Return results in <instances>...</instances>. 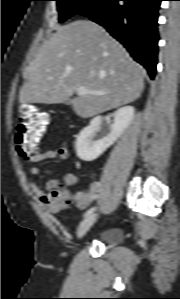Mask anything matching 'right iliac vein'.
Wrapping results in <instances>:
<instances>
[{
	"label": "right iliac vein",
	"instance_id": "63e3f726",
	"mask_svg": "<svg viewBox=\"0 0 180 299\" xmlns=\"http://www.w3.org/2000/svg\"><path fill=\"white\" fill-rule=\"evenodd\" d=\"M97 219V214L88 215L79 225L77 230V236L81 239L87 231L92 227Z\"/></svg>",
	"mask_w": 180,
	"mask_h": 299
}]
</instances>
